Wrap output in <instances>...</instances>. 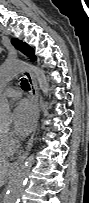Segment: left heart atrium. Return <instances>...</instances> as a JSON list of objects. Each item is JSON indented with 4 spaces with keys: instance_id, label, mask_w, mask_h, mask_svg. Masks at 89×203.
Wrapping results in <instances>:
<instances>
[{
    "instance_id": "39dd6f15",
    "label": "left heart atrium",
    "mask_w": 89,
    "mask_h": 203,
    "mask_svg": "<svg viewBox=\"0 0 89 203\" xmlns=\"http://www.w3.org/2000/svg\"><path fill=\"white\" fill-rule=\"evenodd\" d=\"M13 118L15 132L19 136L25 137L30 133L34 126L35 109L33 105L27 100L20 101L15 108Z\"/></svg>"
}]
</instances>
